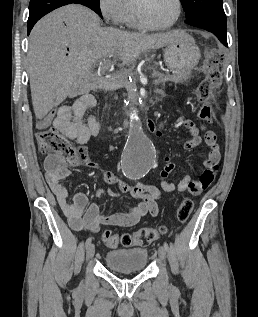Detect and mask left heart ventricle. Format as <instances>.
I'll return each mask as SVG.
<instances>
[{"label":"left heart ventricle","mask_w":258,"mask_h":317,"mask_svg":"<svg viewBox=\"0 0 258 317\" xmlns=\"http://www.w3.org/2000/svg\"><path fill=\"white\" fill-rule=\"evenodd\" d=\"M177 13L173 0H154L143 11V19L147 26L157 27L171 23Z\"/></svg>","instance_id":"b2bd125f"}]
</instances>
